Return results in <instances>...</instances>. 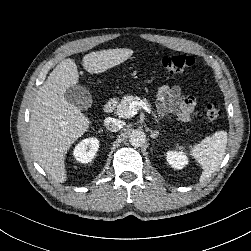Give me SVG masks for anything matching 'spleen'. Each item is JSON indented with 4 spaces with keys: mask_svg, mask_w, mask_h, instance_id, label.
Masks as SVG:
<instances>
[{
    "mask_svg": "<svg viewBox=\"0 0 251 251\" xmlns=\"http://www.w3.org/2000/svg\"><path fill=\"white\" fill-rule=\"evenodd\" d=\"M226 144L227 132L218 131L212 137H206L200 143L191 147L190 155L196 159L203 169L200 176L201 182L211 177L212 173L218 169L225 155Z\"/></svg>",
    "mask_w": 251,
    "mask_h": 251,
    "instance_id": "spleen-1",
    "label": "spleen"
}]
</instances>
